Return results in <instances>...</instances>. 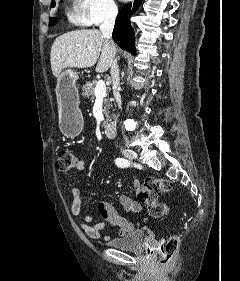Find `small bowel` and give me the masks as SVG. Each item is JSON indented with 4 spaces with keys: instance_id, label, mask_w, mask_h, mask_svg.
<instances>
[{
    "instance_id": "c3829d8e",
    "label": "small bowel",
    "mask_w": 240,
    "mask_h": 281,
    "mask_svg": "<svg viewBox=\"0 0 240 281\" xmlns=\"http://www.w3.org/2000/svg\"><path fill=\"white\" fill-rule=\"evenodd\" d=\"M87 161L85 158L78 160L76 169L78 171H83L86 168ZM133 185L135 190L140 186L139 180L134 177ZM72 203H71V214L75 217L81 215L82 211V200L81 192L78 188L74 187L71 190ZM120 205L126 212L139 213L142 210V206L139 202L133 201L128 195L123 194L119 199ZM97 210L100 217V221L92 223V216H85L81 221V229L83 232L92 239L101 238V231L105 227V223H110L118 228L117 232L119 236H124L134 229V224L128 221L126 218L121 216L115 207L107 201H99L97 203ZM105 239L107 236L104 237Z\"/></svg>"
}]
</instances>
